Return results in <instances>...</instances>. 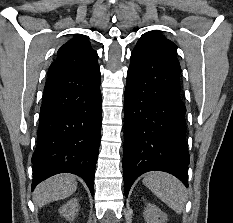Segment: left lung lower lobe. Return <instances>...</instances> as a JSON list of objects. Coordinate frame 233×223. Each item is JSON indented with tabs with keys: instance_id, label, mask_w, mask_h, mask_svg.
Instances as JSON below:
<instances>
[{
	"instance_id": "obj_1",
	"label": "left lung lower lobe",
	"mask_w": 233,
	"mask_h": 223,
	"mask_svg": "<svg viewBox=\"0 0 233 223\" xmlns=\"http://www.w3.org/2000/svg\"><path fill=\"white\" fill-rule=\"evenodd\" d=\"M181 68L147 41L131 54L124 101L123 175L126 197L148 171H164L188 187L186 107L180 97Z\"/></svg>"
}]
</instances>
